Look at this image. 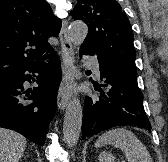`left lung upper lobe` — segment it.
I'll return each mask as SVG.
<instances>
[{
    "label": "left lung upper lobe",
    "instance_id": "1",
    "mask_svg": "<svg viewBox=\"0 0 168 162\" xmlns=\"http://www.w3.org/2000/svg\"><path fill=\"white\" fill-rule=\"evenodd\" d=\"M70 14L89 28L80 50L88 49L113 65L137 74L133 31L117 1L77 0Z\"/></svg>",
    "mask_w": 168,
    "mask_h": 162
}]
</instances>
